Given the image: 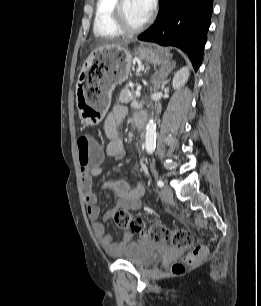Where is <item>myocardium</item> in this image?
I'll return each mask as SVG.
<instances>
[{"mask_svg": "<svg viewBox=\"0 0 261 306\" xmlns=\"http://www.w3.org/2000/svg\"><path fill=\"white\" fill-rule=\"evenodd\" d=\"M124 2L125 0H118L114 7L116 24L124 33L127 34H136L143 31L147 27L149 19L147 18L142 24L138 26L131 25L127 20V17L124 12Z\"/></svg>", "mask_w": 261, "mask_h": 306, "instance_id": "myocardium-1", "label": "myocardium"}]
</instances>
